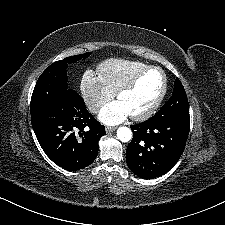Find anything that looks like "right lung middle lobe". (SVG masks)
<instances>
[{
	"instance_id": "obj_1",
	"label": "right lung middle lobe",
	"mask_w": 225,
	"mask_h": 225,
	"mask_svg": "<svg viewBox=\"0 0 225 225\" xmlns=\"http://www.w3.org/2000/svg\"><path fill=\"white\" fill-rule=\"evenodd\" d=\"M91 52L74 55L52 63L39 77L31 98V112L42 109L49 103L57 101L75 91L67 88L68 64L86 59Z\"/></svg>"
}]
</instances>
